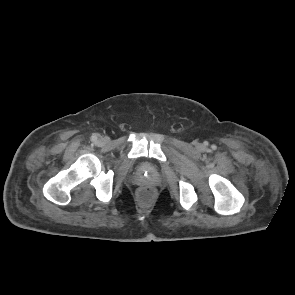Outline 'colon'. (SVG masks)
Listing matches in <instances>:
<instances>
[{"label":"colon","instance_id":"5ec220e1","mask_svg":"<svg viewBox=\"0 0 295 295\" xmlns=\"http://www.w3.org/2000/svg\"><path fill=\"white\" fill-rule=\"evenodd\" d=\"M154 195L155 190L153 187L150 186H143L138 191V197L144 203L150 202L153 199Z\"/></svg>","mask_w":295,"mask_h":295}]
</instances>
